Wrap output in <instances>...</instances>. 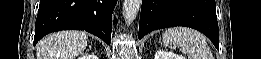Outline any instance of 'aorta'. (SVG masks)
<instances>
[{
  "label": "aorta",
  "mask_w": 261,
  "mask_h": 59,
  "mask_svg": "<svg viewBox=\"0 0 261 59\" xmlns=\"http://www.w3.org/2000/svg\"><path fill=\"white\" fill-rule=\"evenodd\" d=\"M142 0H124L123 1V17L125 23L130 25L136 19L137 14L141 8Z\"/></svg>",
  "instance_id": "762f6f07"
}]
</instances>
